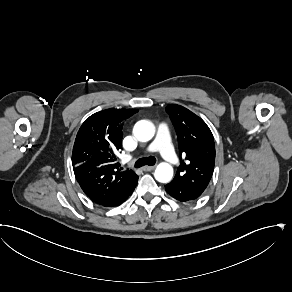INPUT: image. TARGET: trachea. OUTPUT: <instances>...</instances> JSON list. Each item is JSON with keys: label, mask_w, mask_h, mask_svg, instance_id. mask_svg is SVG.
<instances>
[{"label": "trachea", "mask_w": 292, "mask_h": 292, "mask_svg": "<svg viewBox=\"0 0 292 292\" xmlns=\"http://www.w3.org/2000/svg\"><path fill=\"white\" fill-rule=\"evenodd\" d=\"M155 163H156L155 157H153V156L143 157V158L138 159L135 162L134 167L140 168V167H143L144 165L153 166Z\"/></svg>", "instance_id": "trachea-1"}]
</instances>
